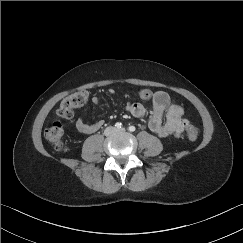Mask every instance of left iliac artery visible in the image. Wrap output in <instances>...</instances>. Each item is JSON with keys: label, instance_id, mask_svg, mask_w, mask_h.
<instances>
[{"label": "left iliac artery", "instance_id": "left-iliac-artery-1", "mask_svg": "<svg viewBox=\"0 0 243 243\" xmlns=\"http://www.w3.org/2000/svg\"><path fill=\"white\" fill-rule=\"evenodd\" d=\"M136 130V128L134 126H129L128 127V131L130 132H134Z\"/></svg>", "mask_w": 243, "mask_h": 243}]
</instances>
